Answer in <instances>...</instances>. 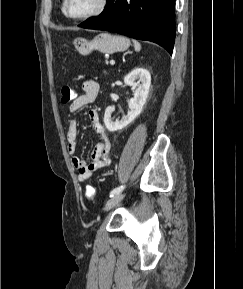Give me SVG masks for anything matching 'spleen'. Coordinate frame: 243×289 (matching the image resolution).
Returning a JSON list of instances; mask_svg holds the SVG:
<instances>
[{"label": "spleen", "instance_id": "3e777b00", "mask_svg": "<svg viewBox=\"0 0 243 289\" xmlns=\"http://www.w3.org/2000/svg\"><path fill=\"white\" fill-rule=\"evenodd\" d=\"M133 44H134L135 51L141 50V45L139 42H137L136 40H133Z\"/></svg>", "mask_w": 243, "mask_h": 289}]
</instances>
